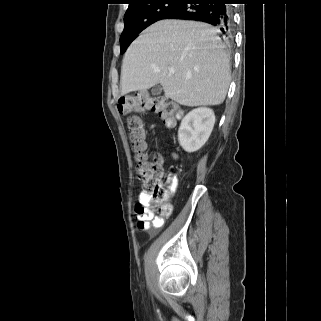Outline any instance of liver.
<instances>
[{"mask_svg":"<svg viewBox=\"0 0 321 321\" xmlns=\"http://www.w3.org/2000/svg\"><path fill=\"white\" fill-rule=\"evenodd\" d=\"M217 32L208 24L183 20L149 26L125 53L121 95L160 84L165 96L180 105L221 104L230 83V65Z\"/></svg>","mask_w":321,"mask_h":321,"instance_id":"6515ba94","label":"liver"}]
</instances>
